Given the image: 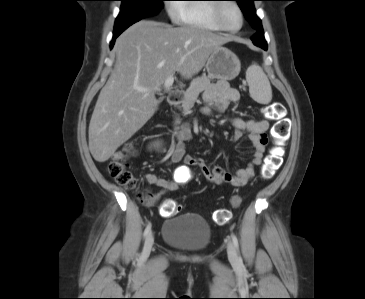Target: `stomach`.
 <instances>
[{
    "label": "stomach",
    "instance_id": "obj_1",
    "mask_svg": "<svg viewBox=\"0 0 365 299\" xmlns=\"http://www.w3.org/2000/svg\"><path fill=\"white\" fill-rule=\"evenodd\" d=\"M206 69L210 78L232 80L239 74L241 63L235 53L220 47L210 54Z\"/></svg>",
    "mask_w": 365,
    "mask_h": 299
}]
</instances>
